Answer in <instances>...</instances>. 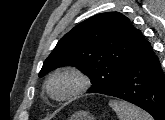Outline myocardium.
<instances>
[{
	"mask_svg": "<svg viewBox=\"0 0 165 120\" xmlns=\"http://www.w3.org/2000/svg\"><path fill=\"white\" fill-rule=\"evenodd\" d=\"M61 77H68L72 81L71 89L64 95L58 96L53 91V83ZM89 86L88 77L78 68L66 66L55 70L48 78L46 88L48 94L57 101H67L84 92Z\"/></svg>",
	"mask_w": 165,
	"mask_h": 120,
	"instance_id": "obj_1",
	"label": "myocardium"
}]
</instances>
